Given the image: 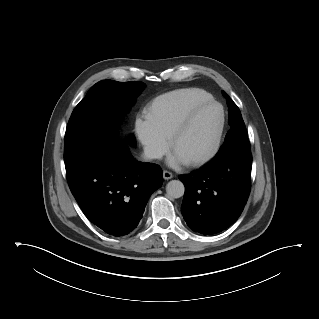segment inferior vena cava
I'll return each mask as SVG.
<instances>
[{
  "label": "inferior vena cava",
  "instance_id": "obj_1",
  "mask_svg": "<svg viewBox=\"0 0 319 319\" xmlns=\"http://www.w3.org/2000/svg\"><path fill=\"white\" fill-rule=\"evenodd\" d=\"M162 157V154L157 149L152 147H145L143 152V159L145 161L152 160V159H159Z\"/></svg>",
  "mask_w": 319,
  "mask_h": 319
}]
</instances>
